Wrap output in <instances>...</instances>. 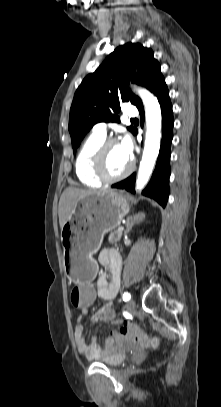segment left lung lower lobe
<instances>
[{
	"label": "left lung lower lobe",
	"instance_id": "0a47b994",
	"mask_svg": "<svg viewBox=\"0 0 221 407\" xmlns=\"http://www.w3.org/2000/svg\"><path fill=\"white\" fill-rule=\"evenodd\" d=\"M157 96L162 111V140L157 159L156 167L152 178L147 187L142 191V194L155 199L162 207L166 206L169 195V177H170V155L171 142L173 138L172 129L174 124L172 105L169 98L168 88L165 79L162 78L153 90ZM141 116V125L144 123V108L143 105L138 108ZM136 134V131L135 133ZM135 178L136 174H132L125 180L113 184V188L125 189L135 193Z\"/></svg>",
	"mask_w": 221,
	"mask_h": 407
}]
</instances>
